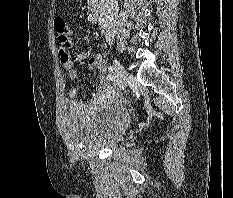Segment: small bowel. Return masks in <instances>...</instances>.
Here are the masks:
<instances>
[{"label": "small bowel", "mask_w": 233, "mask_h": 198, "mask_svg": "<svg viewBox=\"0 0 233 198\" xmlns=\"http://www.w3.org/2000/svg\"><path fill=\"white\" fill-rule=\"evenodd\" d=\"M60 43V42H59ZM72 45V41L69 45L60 43V61L65 70L66 77L75 80L77 78V71L74 68V64L88 58V65L90 69L97 71L99 84L97 91L93 94L92 98L88 102L76 100L77 88L70 89L68 96L70 99V108L73 110H94L100 104L113 100L115 98V92L109 83V79L106 76V69L104 59L101 55L95 54L89 56L88 52L77 53L70 55L67 49Z\"/></svg>", "instance_id": "c3829d8e"}]
</instances>
